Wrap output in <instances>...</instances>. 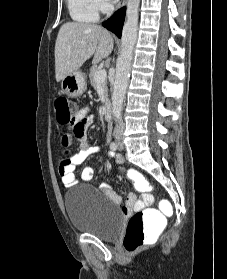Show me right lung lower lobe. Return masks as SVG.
<instances>
[{"label":"right lung lower lobe","instance_id":"98d812e1","mask_svg":"<svg viewBox=\"0 0 227 279\" xmlns=\"http://www.w3.org/2000/svg\"><path fill=\"white\" fill-rule=\"evenodd\" d=\"M126 8L120 9L116 12L112 17H110L107 21L103 22L102 25L108 30L112 31L117 37H121L122 27L124 23Z\"/></svg>","mask_w":227,"mask_h":279}]
</instances>
